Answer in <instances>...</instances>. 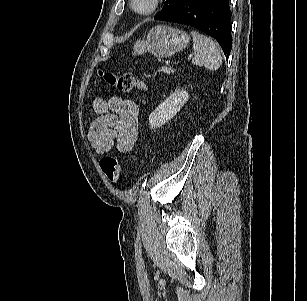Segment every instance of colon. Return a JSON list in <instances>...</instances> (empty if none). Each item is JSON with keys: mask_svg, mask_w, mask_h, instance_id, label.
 I'll use <instances>...</instances> for the list:
<instances>
[{"mask_svg": "<svg viewBox=\"0 0 307 301\" xmlns=\"http://www.w3.org/2000/svg\"><path fill=\"white\" fill-rule=\"evenodd\" d=\"M99 74L107 84L122 91H143L146 89L144 81L136 78L129 72L113 73L100 70ZM100 168L110 181H118L121 172V164L117 158L113 156L103 157L100 160Z\"/></svg>", "mask_w": 307, "mask_h": 301, "instance_id": "1", "label": "colon"}]
</instances>
